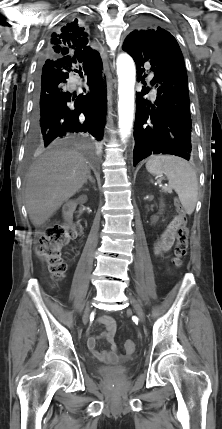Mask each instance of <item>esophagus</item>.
I'll return each mask as SVG.
<instances>
[{"label":"esophagus","mask_w":222,"mask_h":429,"mask_svg":"<svg viewBox=\"0 0 222 429\" xmlns=\"http://www.w3.org/2000/svg\"><path fill=\"white\" fill-rule=\"evenodd\" d=\"M105 52L107 53V49L105 48Z\"/></svg>","instance_id":"1"}]
</instances>
